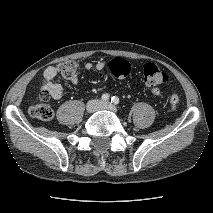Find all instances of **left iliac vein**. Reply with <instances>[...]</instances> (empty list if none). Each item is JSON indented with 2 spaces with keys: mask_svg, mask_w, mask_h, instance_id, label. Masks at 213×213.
<instances>
[{
  "mask_svg": "<svg viewBox=\"0 0 213 213\" xmlns=\"http://www.w3.org/2000/svg\"><path fill=\"white\" fill-rule=\"evenodd\" d=\"M100 109L110 110L113 112H117V108L109 102H104L101 104Z\"/></svg>",
  "mask_w": 213,
  "mask_h": 213,
  "instance_id": "1",
  "label": "left iliac vein"
}]
</instances>
